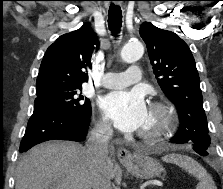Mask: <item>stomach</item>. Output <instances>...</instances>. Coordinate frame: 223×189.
Here are the masks:
<instances>
[{"instance_id": "1", "label": "stomach", "mask_w": 223, "mask_h": 189, "mask_svg": "<svg viewBox=\"0 0 223 189\" xmlns=\"http://www.w3.org/2000/svg\"><path fill=\"white\" fill-rule=\"evenodd\" d=\"M123 165L132 175L140 179L153 178L164 171L159 162L143 154H135L131 162H124Z\"/></svg>"}]
</instances>
